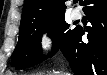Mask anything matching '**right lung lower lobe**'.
<instances>
[{
  "label": "right lung lower lobe",
  "mask_w": 107,
  "mask_h": 75,
  "mask_svg": "<svg viewBox=\"0 0 107 75\" xmlns=\"http://www.w3.org/2000/svg\"><path fill=\"white\" fill-rule=\"evenodd\" d=\"M81 5L91 27L77 28L61 49L75 75H107V0H84ZM87 32L88 42L81 37Z\"/></svg>",
  "instance_id": "98d812e1"
}]
</instances>
